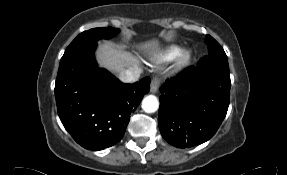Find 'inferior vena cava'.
<instances>
[{
	"label": "inferior vena cava",
	"mask_w": 287,
	"mask_h": 175,
	"mask_svg": "<svg viewBox=\"0 0 287 175\" xmlns=\"http://www.w3.org/2000/svg\"><path fill=\"white\" fill-rule=\"evenodd\" d=\"M142 73V69L139 67H131L127 70L121 71L119 79L126 83L136 82Z\"/></svg>",
	"instance_id": "inferior-vena-cava-1"
}]
</instances>
